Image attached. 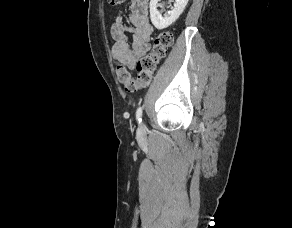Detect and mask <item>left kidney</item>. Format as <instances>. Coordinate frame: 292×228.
<instances>
[{
  "instance_id": "1",
  "label": "left kidney",
  "mask_w": 292,
  "mask_h": 228,
  "mask_svg": "<svg viewBox=\"0 0 292 228\" xmlns=\"http://www.w3.org/2000/svg\"><path fill=\"white\" fill-rule=\"evenodd\" d=\"M159 1L160 0L150 1V18L152 24L157 29H164L178 19V17L184 11L189 0H175L173 9L171 11H168L167 14H165L164 16H162L157 10Z\"/></svg>"
}]
</instances>
